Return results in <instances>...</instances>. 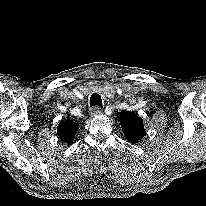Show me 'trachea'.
Here are the masks:
<instances>
[{
  "mask_svg": "<svg viewBox=\"0 0 206 206\" xmlns=\"http://www.w3.org/2000/svg\"><path fill=\"white\" fill-rule=\"evenodd\" d=\"M90 106L91 107H100L102 108V99L98 93H93L90 97Z\"/></svg>",
  "mask_w": 206,
  "mask_h": 206,
  "instance_id": "1",
  "label": "trachea"
}]
</instances>
